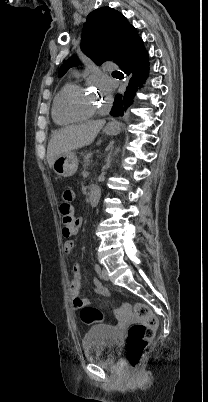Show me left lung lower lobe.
Here are the masks:
<instances>
[{
	"instance_id": "left-lung-lower-lobe-1",
	"label": "left lung lower lobe",
	"mask_w": 208,
	"mask_h": 402,
	"mask_svg": "<svg viewBox=\"0 0 208 402\" xmlns=\"http://www.w3.org/2000/svg\"><path fill=\"white\" fill-rule=\"evenodd\" d=\"M114 62L129 78L125 93L115 96L110 112L112 116H120L123 115L127 106L132 104L138 87L145 82L149 72L148 53L144 48L142 38L133 26H130Z\"/></svg>"
}]
</instances>
